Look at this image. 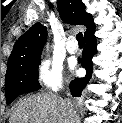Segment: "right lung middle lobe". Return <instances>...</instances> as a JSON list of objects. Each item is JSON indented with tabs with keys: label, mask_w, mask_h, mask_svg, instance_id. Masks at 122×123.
<instances>
[{
	"label": "right lung middle lobe",
	"mask_w": 122,
	"mask_h": 123,
	"mask_svg": "<svg viewBox=\"0 0 122 123\" xmlns=\"http://www.w3.org/2000/svg\"><path fill=\"white\" fill-rule=\"evenodd\" d=\"M40 56L33 57L7 69L5 77L7 104H10L21 94L34 92L41 88L38 82Z\"/></svg>",
	"instance_id": "right-lung-middle-lobe-1"
}]
</instances>
